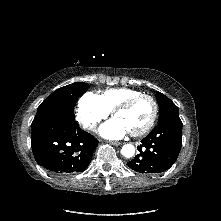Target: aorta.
<instances>
[{
    "instance_id": "762f6f07",
    "label": "aorta",
    "mask_w": 221,
    "mask_h": 221,
    "mask_svg": "<svg viewBox=\"0 0 221 221\" xmlns=\"http://www.w3.org/2000/svg\"><path fill=\"white\" fill-rule=\"evenodd\" d=\"M121 154L126 158H131L135 154V147L132 144L123 145Z\"/></svg>"
}]
</instances>
